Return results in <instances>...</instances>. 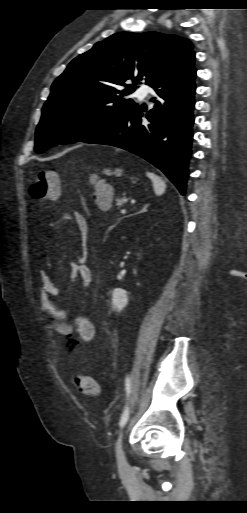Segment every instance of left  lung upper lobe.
<instances>
[{"mask_svg":"<svg viewBox=\"0 0 247 513\" xmlns=\"http://www.w3.org/2000/svg\"><path fill=\"white\" fill-rule=\"evenodd\" d=\"M192 57L195 52L188 39L158 32H121L96 43L52 84L36 129L35 152L85 141L107 130L137 106L124 97L139 81L152 87ZM127 80L133 85L125 84Z\"/></svg>","mask_w":247,"mask_h":513,"instance_id":"5c2ea615","label":"left lung upper lobe"}]
</instances>
